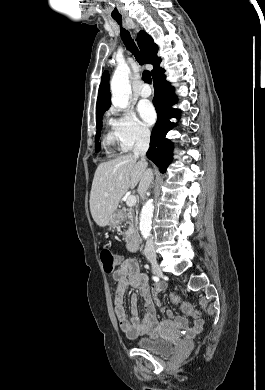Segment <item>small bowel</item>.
<instances>
[{"mask_svg": "<svg viewBox=\"0 0 265 390\" xmlns=\"http://www.w3.org/2000/svg\"><path fill=\"white\" fill-rule=\"evenodd\" d=\"M119 267L113 272V279L117 282L115 292V316L118 325L123 333L129 338L140 335L154 337L157 335L156 311L151 303V297L166 289L164 283H158L150 289L148 277L142 272L141 261L137 258H123L117 256ZM129 287H134L138 293H133L130 297V318H128L124 308V295ZM144 301L142 317L138 314V302ZM174 323L181 329H185L191 336L201 332L203 321L199 318L193 320L192 326L187 328V321L182 317H173Z\"/></svg>", "mask_w": 265, "mask_h": 390, "instance_id": "obj_1", "label": "small bowel"}]
</instances>
